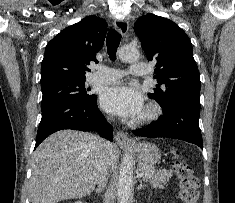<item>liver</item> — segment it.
<instances>
[{
	"label": "liver",
	"instance_id": "obj_1",
	"mask_svg": "<svg viewBox=\"0 0 235 203\" xmlns=\"http://www.w3.org/2000/svg\"><path fill=\"white\" fill-rule=\"evenodd\" d=\"M101 139L94 134L61 130L50 135L32 156V203H58L81 198L95 188L102 160ZM107 162L113 169L118 148L108 142Z\"/></svg>",
	"mask_w": 235,
	"mask_h": 203
}]
</instances>
